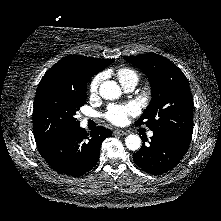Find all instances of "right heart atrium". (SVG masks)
Wrapping results in <instances>:
<instances>
[{"label": "right heart atrium", "instance_id": "obj_1", "mask_svg": "<svg viewBox=\"0 0 221 221\" xmlns=\"http://www.w3.org/2000/svg\"><path fill=\"white\" fill-rule=\"evenodd\" d=\"M103 79L104 75L102 73H99L92 78L89 84V91L91 94H96L98 92Z\"/></svg>", "mask_w": 221, "mask_h": 221}]
</instances>
